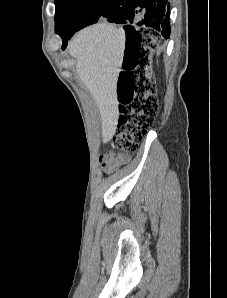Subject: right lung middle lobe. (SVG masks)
<instances>
[{
  "mask_svg": "<svg viewBox=\"0 0 227 298\" xmlns=\"http://www.w3.org/2000/svg\"><path fill=\"white\" fill-rule=\"evenodd\" d=\"M104 0H55V30L64 34L76 30Z\"/></svg>",
  "mask_w": 227,
  "mask_h": 298,
  "instance_id": "obj_1",
  "label": "right lung middle lobe"
}]
</instances>
